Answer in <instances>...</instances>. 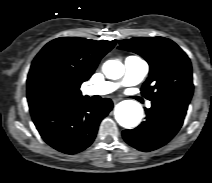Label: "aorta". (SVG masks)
<instances>
[{
	"label": "aorta",
	"mask_w": 212,
	"mask_h": 183,
	"mask_svg": "<svg viewBox=\"0 0 212 183\" xmlns=\"http://www.w3.org/2000/svg\"><path fill=\"white\" fill-rule=\"evenodd\" d=\"M103 73L109 79H119L124 74V65L118 60H108L103 64ZM143 116V109L133 100L120 102L115 108V119L120 126L130 129L136 127Z\"/></svg>",
	"instance_id": "obj_1"
}]
</instances>
